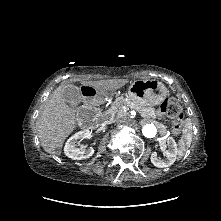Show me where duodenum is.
Returning a JSON list of instances; mask_svg holds the SVG:
<instances>
[{"label": "duodenum", "mask_w": 221, "mask_h": 221, "mask_svg": "<svg viewBox=\"0 0 221 221\" xmlns=\"http://www.w3.org/2000/svg\"><path fill=\"white\" fill-rule=\"evenodd\" d=\"M118 95L115 88L84 86L80 90V97L85 101L86 109L79 115V122L82 127H88L92 122H96L97 112L88 108L99 105L101 102H111Z\"/></svg>", "instance_id": "obj_1"}]
</instances>
